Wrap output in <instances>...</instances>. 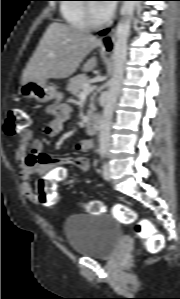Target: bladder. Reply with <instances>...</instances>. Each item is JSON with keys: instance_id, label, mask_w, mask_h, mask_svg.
I'll list each match as a JSON object with an SVG mask.
<instances>
[{"instance_id": "bladder-1", "label": "bladder", "mask_w": 180, "mask_h": 299, "mask_svg": "<svg viewBox=\"0 0 180 299\" xmlns=\"http://www.w3.org/2000/svg\"><path fill=\"white\" fill-rule=\"evenodd\" d=\"M63 232L73 252L80 256L107 259L118 248L122 230L111 214H75L63 223Z\"/></svg>"}]
</instances>
